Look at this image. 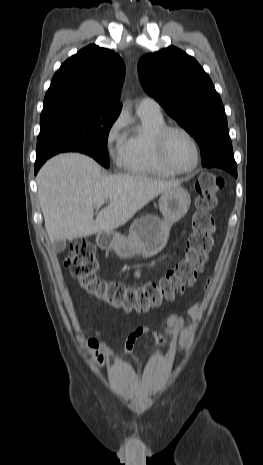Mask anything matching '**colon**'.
<instances>
[{"label":"colon","instance_id":"obj_1","mask_svg":"<svg viewBox=\"0 0 263 465\" xmlns=\"http://www.w3.org/2000/svg\"><path fill=\"white\" fill-rule=\"evenodd\" d=\"M223 186L224 180L217 175L205 173L198 177L195 183L196 211L184 258L158 281L129 287L120 282L101 280L97 275L99 262L94 246L80 239L71 243L65 263L83 289L113 306L135 312L157 307L164 300L181 294L196 281L213 246L216 225L211 212ZM94 341L91 340V343Z\"/></svg>","mask_w":263,"mask_h":465}]
</instances>
